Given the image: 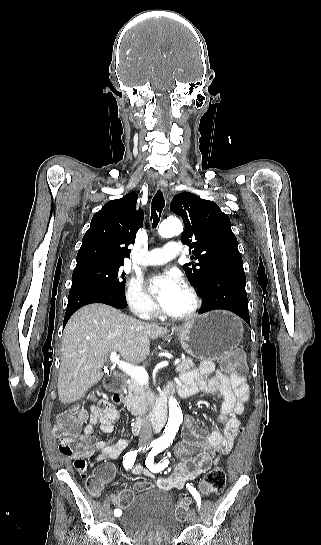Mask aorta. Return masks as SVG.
Returning <instances> with one entry per match:
<instances>
[{"instance_id": "1", "label": "aorta", "mask_w": 321, "mask_h": 545, "mask_svg": "<svg viewBox=\"0 0 321 545\" xmlns=\"http://www.w3.org/2000/svg\"><path fill=\"white\" fill-rule=\"evenodd\" d=\"M183 230V226L179 219L169 218L164 220L159 226L158 233L163 238H171L179 235ZM183 421L181 408L175 398L169 399V418L164 431V435L159 441L164 445H169L176 436L179 427Z\"/></svg>"}]
</instances>
